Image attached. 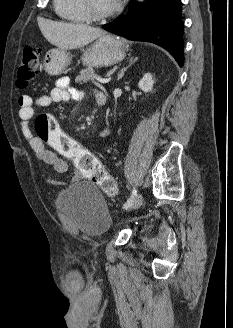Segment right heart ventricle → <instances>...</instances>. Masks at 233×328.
I'll list each match as a JSON object with an SVG mask.
<instances>
[{"instance_id":"obj_1","label":"right heart ventricle","mask_w":233,"mask_h":328,"mask_svg":"<svg viewBox=\"0 0 233 328\" xmlns=\"http://www.w3.org/2000/svg\"><path fill=\"white\" fill-rule=\"evenodd\" d=\"M59 17L71 22H83L87 17L81 6V0H53Z\"/></svg>"}]
</instances>
